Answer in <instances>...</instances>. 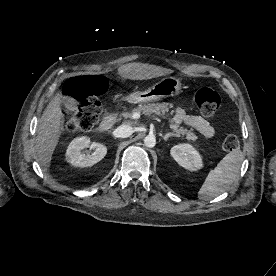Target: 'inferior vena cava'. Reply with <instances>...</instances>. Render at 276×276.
<instances>
[{
  "instance_id": "inferior-vena-cava-1",
  "label": "inferior vena cava",
  "mask_w": 276,
  "mask_h": 276,
  "mask_svg": "<svg viewBox=\"0 0 276 276\" xmlns=\"http://www.w3.org/2000/svg\"><path fill=\"white\" fill-rule=\"evenodd\" d=\"M133 133V128L128 125H121L115 130V135L119 138H127Z\"/></svg>"
}]
</instances>
